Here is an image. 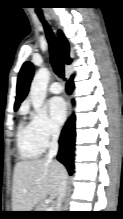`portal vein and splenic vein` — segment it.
<instances>
[{
  "label": "portal vein and splenic vein",
  "instance_id": "18ae733b",
  "mask_svg": "<svg viewBox=\"0 0 123 219\" xmlns=\"http://www.w3.org/2000/svg\"><path fill=\"white\" fill-rule=\"evenodd\" d=\"M46 211H52V207H47Z\"/></svg>",
  "mask_w": 123,
  "mask_h": 219
}]
</instances>
